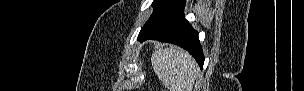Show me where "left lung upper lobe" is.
<instances>
[{
    "label": "left lung upper lobe",
    "mask_w": 304,
    "mask_h": 91,
    "mask_svg": "<svg viewBox=\"0 0 304 91\" xmlns=\"http://www.w3.org/2000/svg\"><path fill=\"white\" fill-rule=\"evenodd\" d=\"M169 1L170 0H154L153 1L152 6L154 7V11L151 14V16L149 17V19L147 20V22L142 27V29H141V31H140V33L138 35V40L155 23L156 19L158 18V16L160 15V13L165 8V6L168 4Z\"/></svg>",
    "instance_id": "obj_1"
}]
</instances>
